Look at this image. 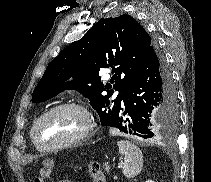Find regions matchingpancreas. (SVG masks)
I'll list each match as a JSON object with an SVG mask.
<instances>
[{
	"instance_id": "obj_1",
	"label": "pancreas",
	"mask_w": 211,
	"mask_h": 182,
	"mask_svg": "<svg viewBox=\"0 0 211 182\" xmlns=\"http://www.w3.org/2000/svg\"><path fill=\"white\" fill-rule=\"evenodd\" d=\"M104 169L106 170V172H109V166L105 164Z\"/></svg>"
}]
</instances>
